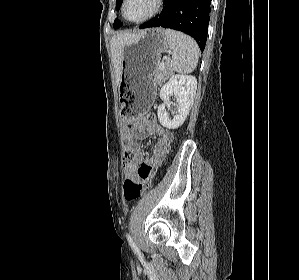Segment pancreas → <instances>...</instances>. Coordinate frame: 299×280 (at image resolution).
<instances>
[{"mask_svg":"<svg viewBox=\"0 0 299 280\" xmlns=\"http://www.w3.org/2000/svg\"><path fill=\"white\" fill-rule=\"evenodd\" d=\"M171 72L168 67V65L165 66L164 70H160V65L158 66V69L154 75V81L161 85L165 80H167L170 76Z\"/></svg>","mask_w":299,"mask_h":280,"instance_id":"cf45deb5","label":"pancreas"}]
</instances>
